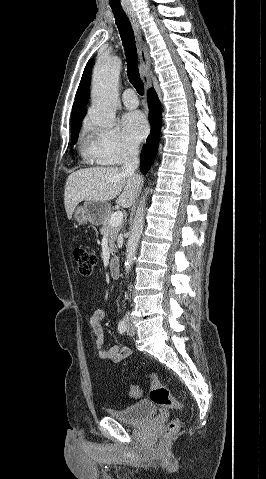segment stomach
Returning a JSON list of instances; mask_svg holds the SVG:
<instances>
[{
	"label": "stomach",
	"instance_id": "0dacf381",
	"mask_svg": "<svg viewBox=\"0 0 266 479\" xmlns=\"http://www.w3.org/2000/svg\"><path fill=\"white\" fill-rule=\"evenodd\" d=\"M109 213L110 205L107 202L90 200L76 208L74 218L79 225L88 222L100 225Z\"/></svg>",
	"mask_w": 266,
	"mask_h": 479
}]
</instances>
